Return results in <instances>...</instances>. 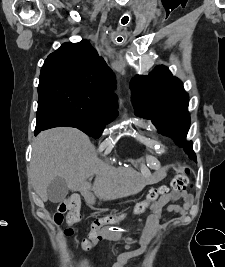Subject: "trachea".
<instances>
[{"label":"trachea","mask_w":225,"mask_h":267,"mask_svg":"<svg viewBox=\"0 0 225 267\" xmlns=\"http://www.w3.org/2000/svg\"><path fill=\"white\" fill-rule=\"evenodd\" d=\"M128 21H129V17H128V16H124V17L121 19V23H122L123 25L127 24Z\"/></svg>","instance_id":"obj_1"}]
</instances>
